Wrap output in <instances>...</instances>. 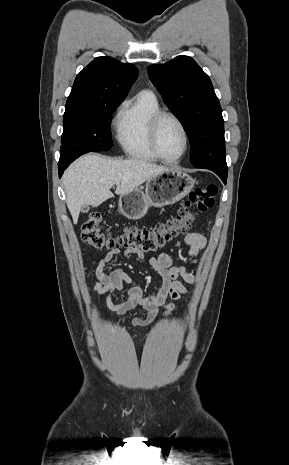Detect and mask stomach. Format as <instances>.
<instances>
[{
	"instance_id": "obj_1",
	"label": "stomach",
	"mask_w": 289,
	"mask_h": 465,
	"mask_svg": "<svg viewBox=\"0 0 289 465\" xmlns=\"http://www.w3.org/2000/svg\"><path fill=\"white\" fill-rule=\"evenodd\" d=\"M196 181L177 168L147 180L145 192L134 189L119 198V209L123 216L131 220L143 218L150 207H163L174 204L185 197Z\"/></svg>"
}]
</instances>
